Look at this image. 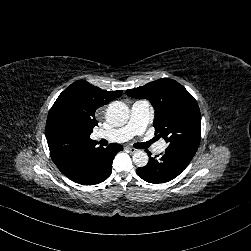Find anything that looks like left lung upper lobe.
Segmentation results:
<instances>
[{"label":"left lung upper lobe","instance_id":"5c2ea615","mask_svg":"<svg viewBox=\"0 0 251 251\" xmlns=\"http://www.w3.org/2000/svg\"><path fill=\"white\" fill-rule=\"evenodd\" d=\"M126 94L152 103L156 114L154 127L157 138H164L168 147L196 153L201 137L200 110L196 100L181 84L163 78L128 89Z\"/></svg>","mask_w":251,"mask_h":251}]
</instances>
